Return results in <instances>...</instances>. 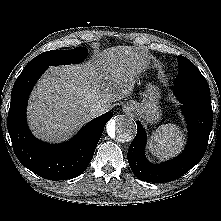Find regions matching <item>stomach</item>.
Instances as JSON below:
<instances>
[{
	"instance_id": "0dacf381",
	"label": "stomach",
	"mask_w": 221,
	"mask_h": 221,
	"mask_svg": "<svg viewBox=\"0 0 221 221\" xmlns=\"http://www.w3.org/2000/svg\"><path fill=\"white\" fill-rule=\"evenodd\" d=\"M159 98V88L149 84L143 94L142 102L131 101L124 106V110L130 115L139 116L146 123H157L161 119V110L158 103Z\"/></svg>"
}]
</instances>
